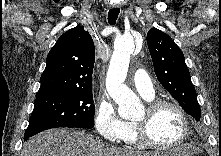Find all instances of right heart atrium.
Instances as JSON below:
<instances>
[{
  "label": "right heart atrium",
  "instance_id": "obj_1",
  "mask_svg": "<svg viewBox=\"0 0 221 156\" xmlns=\"http://www.w3.org/2000/svg\"><path fill=\"white\" fill-rule=\"evenodd\" d=\"M94 125L100 136L110 142L123 140L128 130L127 122L119 117L114 103L105 94L97 98Z\"/></svg>",
  "mask_w": 221,
  "mask_h": 156
}]
</instances>
